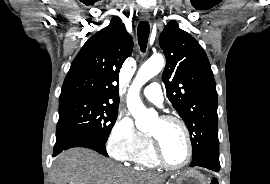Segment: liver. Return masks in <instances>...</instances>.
Wrapping results in <instances>:
<instances>
[{"label": "liver", "instance_id": "liver-1", "mask_svg": "<svg viewBox=\"0 0 270 184\" xmlns=\"http://www.w3.org/2000/svg\"><path fill=\"white\" fill-rule=\"evenodd\" d=\"M162 180L130 171L85 148L62 152L52 167L53 184H158Z\"/></svg>", "mask_w": 270, "mask_h": 184}]
</instances>
